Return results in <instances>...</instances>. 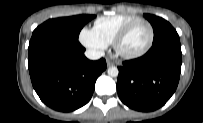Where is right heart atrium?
<instances>
[{
	"mask_svg": "<svg viewBox=\"0 0 203 123\" xmlns=\"http://www.w3.org/2000/svg\"><path fill=\"white\" fill-rule=\"evenodd\" d=\"M80 42L87 48L100 52L103 51L107 45L96 35L93 29L84 27L80 31Z\"/></svg>",
	"mask_w": 203,
	"mask_h": 123,
	"instance_id": "right-heart-atrium-1",
	"label": "right heart atrium"
}]
</instances>
